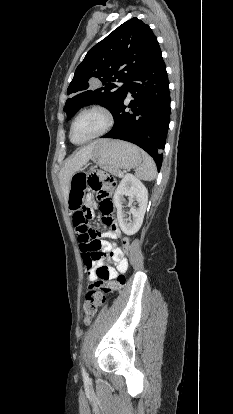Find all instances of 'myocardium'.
<instances>
[{"label":"myocardium","mask_w":233,"mask_h":414,"mask_svg":"<svg viewBox=\"0 0 233 414\" xmlns=\"http://www.w3.org/2000/svg\"><path fill=\"white\" fill-rule=\"evenodd\" d=\"M90 112H95V113H97V114H99V115L102 116V118L104 120L103 127L98 132H96L95 134H93L92 136H90L89 138H87V139H85L83 141H79V142L74 141L73 140V137H72V134H73V129H74V126H75L76 122L78 121V119L82 115H84L86 113H90ZM114 123H115L114 116L111 113V111H109L107 108H105L103 106H100V105H92V106L85 107V108L81 109L75 115V117L73 118V120L71 122L70 130H69L70 140L74 144H78V145L86 144L88 142H91V141H93V140H95L97 138H100V137L104 136L105 134H107L113 128Z\"/></svg>","instance_id":"f54148a6"}]
</instances>
